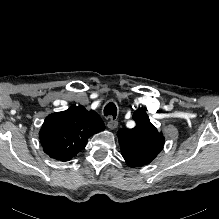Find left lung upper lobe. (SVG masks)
<instances>
[{"mask_svg": "<svg viewBox=\"0 0 219 219\" xmlns=\"http://www.w3.org/2000/svg\"><path fill=\"white\" fill-rule=\"evenodd\" d=\"M136 126L133 129L122 128L117 136L121 154L130 167H140L151 163L164 146V136L150 122L144 109L133 113Z\"/></svg>", "mask_w": 219, "mask_h": 219, "instance_id": "5c2ea615", "label": "left lung upper lobe"}]
</instances>
